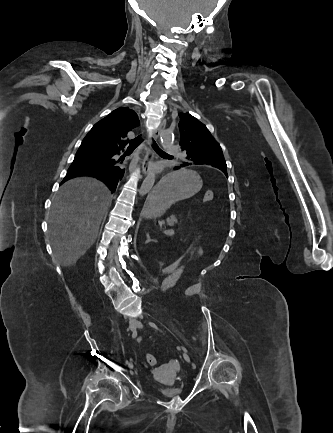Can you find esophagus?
<instances>
[{
  "label": "esophagus",
  "instance_id": "1",
  "mask_svg": "<svg viewBox=\"0 0 333 433\" xmlns=\"http://www.w3.org/2000/svg\"><path fill=\"white\" fill-rule=\"evenodd\" d=\"M163 127H164V125L161 124L160 127L155 129V131L153 133V138L155 140L159 139V136H160V133H161ZM154 158H155V151H154V148L152 147V140H150L149 141V149H148L147 155H146V157L143 161V164H142V171H143L144 175L148 174L151 171Z\"/></svg>",
  "mask_w": 333,
  "mask_h": 433
}]
</instances>
